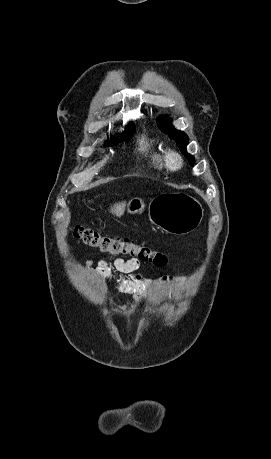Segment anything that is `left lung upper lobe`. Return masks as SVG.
I'll return each mask as SVG.
<instances>
[{
  "label": "left lung upper lobe",
  "mask_w": 271,
  "mask_h": 459,
  "mask_svg": "<svg viewBox=\"0 0 271 459\" xmlns=\"http://www.w3.org/2000/svg\"><path fill=\"white\" fill-rule=\"evenodd\" d=\"M171 118L161 117L157 119L158 126L166 133L170 135V138L176 140L178 146L180 147L182 153L188 158V161L191 166L194 165V157L188 153H186V145L188 144L189 138L188 136L179 130H176L174 126L171 124Z\"/></svg>",
  "instance_id": "5c2ea615"
}]
</instances>
